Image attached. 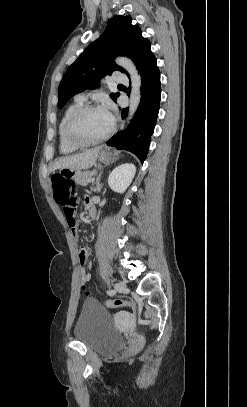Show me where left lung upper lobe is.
Masks as SVG:
<instances>
[{
    "label": "left lung upper lobe",
    "mask_w": 247,
    "mask_h": 407,
    "mask_svg": "<svg viewBox=\"0 0 247 407\" xmlns=\"http://www.w3.org/2000/svg\"><path fill=\"white\" fill-rule=\"evenodd\" d=\"M130 16H116L110 20L104 33L92 42L80 57L68 68L59 85L58 106L62 108L75 94L96 88V83L113 71L128 73L115 64L114 58L126 55L136 67L151 51L150 41L142 37L137 25H132ZM119 93L110 97L115 101Z\"/></svg>",
    "instance_id": "obj_1"
}]
</instances>
